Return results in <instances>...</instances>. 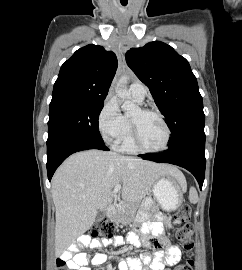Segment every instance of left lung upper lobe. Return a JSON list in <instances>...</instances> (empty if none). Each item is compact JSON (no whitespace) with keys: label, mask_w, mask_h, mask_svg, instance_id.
<instances>
[{"label":"left lung upper lobe","mask_w":242,"mask_h":270,"mask_svg":"<svg viewBox=\"0 0 242 270\" xmlns=\"http://www.w3.org/2000/svg\"><path fill=\"white\" fill-rule=\"evenodd\" d=\"M128 66L149 88L171 130L169 146L204 133L205 115L197 79L188 61L171 46L154 41L126 53Z\"/></svg>","instance_id":"obj_1"}]
</instances>
